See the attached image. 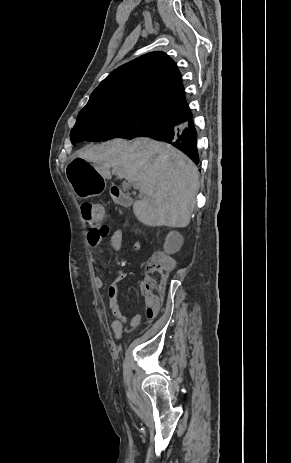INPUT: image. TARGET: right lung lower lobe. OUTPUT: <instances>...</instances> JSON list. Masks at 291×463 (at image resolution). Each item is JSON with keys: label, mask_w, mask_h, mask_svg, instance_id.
Wrapping results in <instances>:
<instances>
[{"label": "right lung lower lobe", "mask_w": 291, "mask_h": 463, "mask_svg": "<svg viewBox=\"0 0 291 463\" xmlns=\"http://www.w3.org/2000/svg\"><path fill=\"white\" fill-rule=\"evenodd\" d=\"M167 125L154 130L142 137H148L170 143L185 153L196 165L199 164L197 149V131L193 120L182 123L177 118L165 119Z\"/></svg>", "instance_id": "right-lung-lower-lobe-1"}]
</instances>
